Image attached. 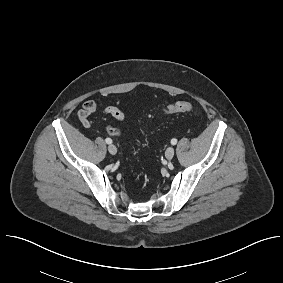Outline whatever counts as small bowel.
<instances>
[{"instance_id": "obj_1", "label": "small bowel", "mask_w": 283, "mask_h": 283, "mask_svg": "<svg viewBox=\"0 0 283 283\" xmlns=\"http://www.w3.org/2000/svg\"><path fill=\"white\" fill-rule=\"evenodd\" d=\"M97 109V103L93 100H85L82 103V108L78 111L77 116L81 124L85 127L92 125L93 121L91 116ZM114 118L116 120H123L125 118L124 112L116 106H108L103 110L102 119ZM120 131L116 129V135H119Z\"/></svg>"}]
</instances>
